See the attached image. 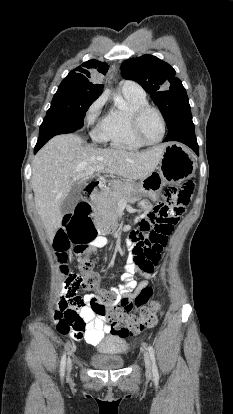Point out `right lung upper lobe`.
<instances>
[{
    "label": "right lung upper lobe",
    "instance_id": "cb5924a9",
    "mask_svg": "<svg viewBox=\"0 0 233 414\" xmlns=\"http://www.w3.org/2000/svg\"><path fill=\"white\" fill-rule=\"evenodd\" d=\"M107 71L108 65L106 63L89 60L83 63L82 67L79 66L72 70L61 84L101 95L104 86L102 84L94 83L90 79L95 74L105 75Z\"/></svg>",
    "mask_w": 233,
    "mask_h": 414
}]
</instances>
